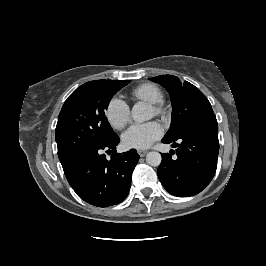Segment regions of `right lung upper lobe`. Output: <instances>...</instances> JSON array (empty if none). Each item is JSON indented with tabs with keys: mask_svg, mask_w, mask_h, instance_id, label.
Returning a JSON list of instances; mask_svg holds the SVG:
<instances>
[{
	"mask_svg": "<svg viewBox=\"0 0 266 266\" xmlns=\"http://www.w3.org/2000/svg\"><path fill=\"white\" fill-rule=\"evenodd\" d=\"M96 81H97V80H95V81H91V82H87V83L83 84V85L80 86V87H85V86L90 85V84H92V83H94V82H96Z\"/></svg>",
	"mask_w": 266,
	"mask_h": 266,
	"instance_id": "right-lung-upper-lobe-1",
	"label": "right lung upper lobe"
}]
</instances>
